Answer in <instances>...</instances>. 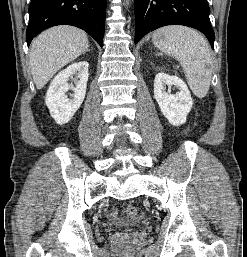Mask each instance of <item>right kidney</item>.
<instances>
[{
	"instance_id": "ca27d5eb",
	"label": "right kidney",
	"mask_w": 247,
	"mask_h": 257,
	"mask_svg": "<svg viewBox=\"0 0 247 257\" xmlns=\"http://www.w3.org/2000/svg\"><path fill=\"white\" fill-rule=\"evenodd\" d=\"M88 67L87 61L73 63L59 72L51 82L45 103L57 124L68 123L80 108L86 94ZM73 76L76 78L75 86L68 83ZM69 90L74 92L73 99L66 95Z\"/></svg>"
}]
</instances>
